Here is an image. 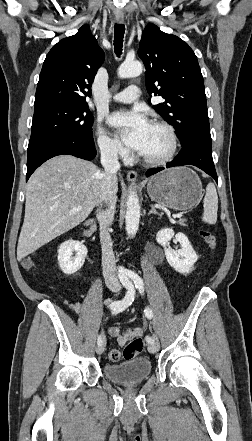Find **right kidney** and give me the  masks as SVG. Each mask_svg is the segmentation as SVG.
Wrapping results in <instances>:
<instances>
[{"mask_svg":"<svg viewBox=\"0 0 252 441\" xmlns=\"http://www.w3.org/2000/svg\"><path fill=\"white\" fill-rule=\"evenodd\" d=\"M74 251L76 254L73 257ZM87 253L86 246L79 241L67 240L62 243L58 249V262L62 272L66 275H72L80 270Z\"/></svg>","mask_w":252,"mask_h":441,"instance_id":"right-kidney-1","label":"right kidney"}]
</instances>
